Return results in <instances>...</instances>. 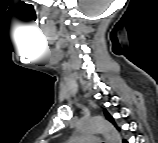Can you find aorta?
<instances>
[{
    "instance_id": "aorta-1",
    "label": "aorta",
    "mask_w": 158,
    "mask_h": 143,
    "mask_svg": "<svg viewBox=\"0 0 158 143\" xmlns=\"http://www.w3.org/2000/svg\"><path fill=\"white\" fill-rule=\"evenodd\" d=\"M78 131L81 133H102L107 143H121V137L116 128L101 117L82 120L78 124Z\"/></svg>"
}]
</instances>
